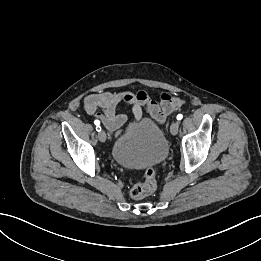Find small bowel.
<instances>
[{"label":"small bowel","mask_w":261,"mask_h":261,"mask_svg":"<svg viewBox=\"0 0 261 261\" xmlns=\"http://www.w3.org/2000/svg\"><path fill=\"white\" fill-rule=\"evenodd\" d=\"M122 104L131 107L136 121L142 119L143 111L146 110L156 122L162 124L171 113L182 106L183 100L169 93H162L157 102L145 91L137 93L106 91L88 95L84 99V110L87 114L100 119L102 124L114 133L127 120L126 114L118 111Z\"/></svg>","instance_id":"small-bowel-1"}]
</instances>
